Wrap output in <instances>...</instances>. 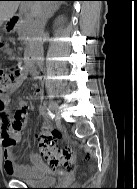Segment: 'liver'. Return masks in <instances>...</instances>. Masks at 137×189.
Listing matches in <instances>:
<instances>
[{
	"label": "liver",
	"instance_id": "1",
	"mask_svg": "<svg viewBox=\"0 0 137 189\" xmlns=\"http://www.w3.org/2000/svg\"><path fill=\"white\" fill-rule=\"evenodd\" d=\"M19 3V1H0V27L6 20H9L11 17H13L18 9ZM49 4L50 2L45 1L30 2L33 15H37L41 9ZM52 4L57 5L58 2H52Z\"/></svg>",
	"mask_w": 137,
	"mask_h": 189
}]
</instances>
